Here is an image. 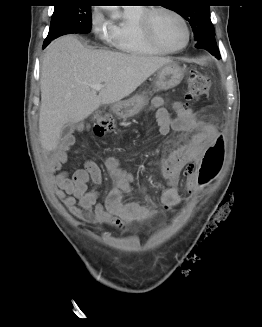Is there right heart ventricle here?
<instances>
[{
    "label": "right heart ventricle",
    "instance_id": "e07e8e85",
    "mask_svg": "<svg viewBox=\"0 0 262 327\" xmlns=\"http://www.w3.org/2000/svg\"><path fill=\"white\" fill-rule=\"evenodd\" d=\"M144 11L143 7H125L110 24L111 42L117 49L130 54H165L153 46L141 31L139 20Z\"/></svg>",
    "mask_w": 262,
    "mask_h": 327
}]
</instances>
